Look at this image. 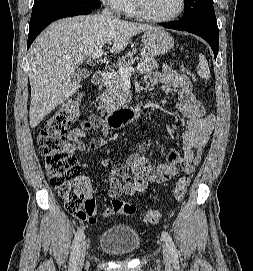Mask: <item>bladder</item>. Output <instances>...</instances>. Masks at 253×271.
<instances>
[{
	"mask_svg": "<svg viewBox=\"0 0 253 271\" xmlns=\"http://www.w3.org/2000/svg\"><path fill=\"white\" fill-rule=\"evenodd\" d=\"M141 243L140 233L126 224L107 227L99 238V247L114 257H128L135 254Z\"/></svg>",
	"mask_w": 253,
	"mask_h": 271,
	"instance_id": "1",
	"label": "bladder"
}]
</instances>
